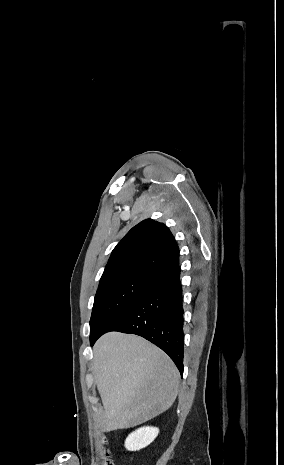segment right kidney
I'll list each match as a JSON object with an SVG mask.
<instances>
[{"instance_id":"right-kidney-1","label":"right kidney","mask_w":284,"mask_h":465,"mask_svg":"<svg viewBox=\"0 0 284 465\" xmlns=\"http://www.w3.org/2000/svg\"><path fill=\"white\" fill-rule=\"evenodd\" d=\"M158 433L159 429L157 427H142V429H137V431L128 435L125 447L128 451H140V449L148 447L156 439Z\"/></svg>"}]
</instances>
